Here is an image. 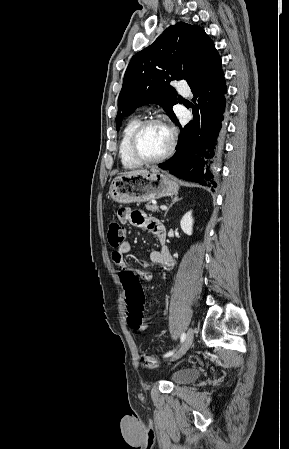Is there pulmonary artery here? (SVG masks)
I'll list each match as a JSON object with an SVG mask.
<instances>
[{
  "instance_id": "e3ab8cb5",
  "label": "pulmonary artery",
  "mask_w": 289,
  "mask_h": 449,
  "mask_svg": "<svg viewBox=\"0 0 289 449\" xmlns=\"http://www.w3.org/2000/svg\"><path fill=\"white\" fill-rule=\"evenodd\" d=\"M184 92L188 93L189 91L188 90H184Z\"/></svg>"
}]
</instances>
